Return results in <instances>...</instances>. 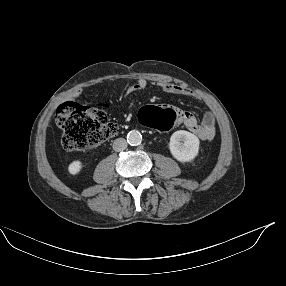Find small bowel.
Here are the masks:
<instances>
[{"label":"small bowel","mask_w":286,"mask_h":286,"mask_svg":"<svg viewBox=\"0 0 286 286\" xmlns=\"http://www.w3.org/2000/svg\"><path fill=\"white\" fill-rule=\"evenodd\" d=\"M147 85L148 83L145 79H138L134 84L130 85L126 89V93L131 94L133 92L142 91L146 89ZM155 86L169 94L182 95L195 99L201 98L200 94L197 92L179 84L170 82H157L155 83ZM153 105L161 109L167 107L173 109L177 115V121L175 125H184L187 129L195 133L200 140L210 141L214 138L216 133V121L213 111L206 112L203 119L199 121L191 112L168 106L167 101L154 99Z\"/></svg>","instance_id":"obj_1"}]
</instances>
